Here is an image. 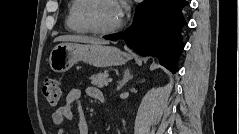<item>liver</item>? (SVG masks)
Masks as SVG:
<instances>
[{
	"instance_id": "1",
	"label": "liver",
	"mask_w": 239,
	"mask_h": 134,
	"mask_svg": "<svg viewBox=\"0 0 239 134\" xmlns=\"http://www.w3.org/2000/svg\"><path fill=\"white\" fill-rule=\"evenodd\" d=\"M55 42L59 41H72V42H82V43H89V44H107L108 41L101 40L98 38H93L89 36H82V35H64L59 36L55 40Z\"/></svg>"
}]
</instances>
